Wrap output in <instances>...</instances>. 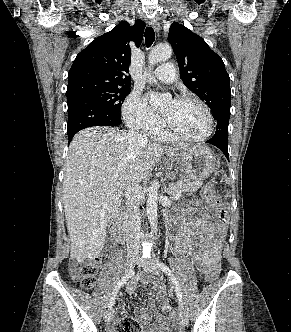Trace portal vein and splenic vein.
Returning a JSON list of instances; mask_svg holds the SVG:
<instances>
[{
    "label": "portal vein and splenic vein",
    "instance_id": "portal-vein-and-splenic-vein-1",
    "mask_svg": "<svg viewBox=\"0 0 291 332\" xmlns=\"http://www.w3.org/2000/svg\"><path fill=\"white\" fill-rule=\"evenodd\" d=\"M176 196H177V197H176V199H177V198H179V196H181V193H179V194H178V195H176ZM174 198H175V197H174Z\"/></svg>",
    "mask_w": 291,
    "mask_h": 332
}]
</instances>
